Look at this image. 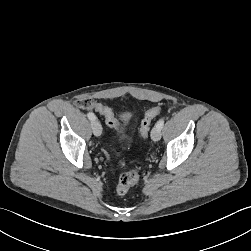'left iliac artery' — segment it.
Listing matches in <instances>:
<instances>
[{
    "label": "left iliac artery",
    "instance_id": "1",
    "mask_svg": "<svg viewBox=\"0 0 251 251\" xmlns=\"http://www.w3.org/2000/svg\"><path fill=\"white\" fill-rule=\"evenodd\" d=\"M163 126H164V119L162 118L157 122L156 127L162 129Z\"/></svg>",
    "mask_w": 251,
    "mask_h": 251
}]
</instances>
